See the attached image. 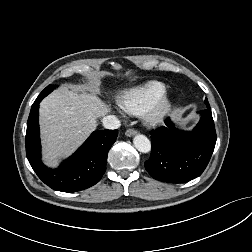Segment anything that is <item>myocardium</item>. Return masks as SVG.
I'll list each match as a JSON object with an SVG mask.
<instances>
[{
    "instance_id": "f54148a6",
    "label": "myocardium",
    "mask_w": 252,
    "mask_h": 252,
    "mask_svg": "<svg viewBox=\"0 0 252 252\" xmlns=\"http://www.w3.org/2000/svg\"><path fill=\"white\" fill-rule=\"evenodd\" d=\"M172 101L167 92L161 94L143 113L144 121L150 125H161L167 119Z\"/></svg>"
}]
</instances>
